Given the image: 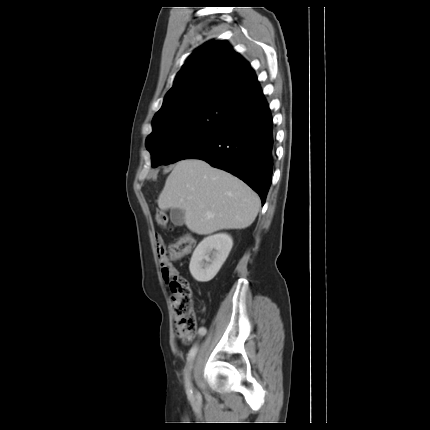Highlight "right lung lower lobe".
Listing matches in <instances>:
<instances>
[{"mask_svg":"<svg viewBox=\"0 0 430 430\" xmlns=\"http://www.w3.org/2000/svg\"><path fill=\"white\" fill-rule=\"evenodd\" d=\"M274 140L272 116L261 91L248 106L232 109L227 126L185 159H201L232 173L259 194L263 205L271 185Z\"/></svg>","mask_w":430,"mask_h":430,"instance_id":"right-lung-lower-lobe-1","label":"right lung lower lobe"}]
</instances>
